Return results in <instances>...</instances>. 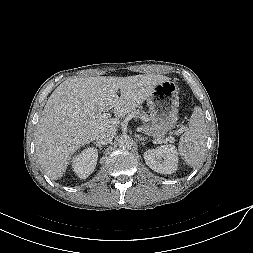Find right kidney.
Segmentation results:
<instances>
[{
    "label": "right kidney",
    "mask_w": 253,
    "mask_h": 253,
    "mask_svg": "<svg viewBox=\"0 0 253 253\" xmlns=\"http://www.w3.org/2000/svg\"><path fill=\"white\" fill-rule=\"evenodd\" d=\"M98 151L94 148L84 149L72 160L73 171L79 178H87L95 169Z\"/></svg>",
    "instance_id": "obj_1"
}]
</instances>
